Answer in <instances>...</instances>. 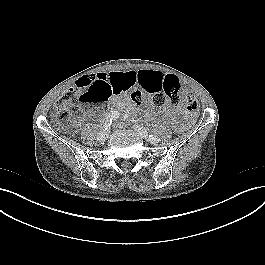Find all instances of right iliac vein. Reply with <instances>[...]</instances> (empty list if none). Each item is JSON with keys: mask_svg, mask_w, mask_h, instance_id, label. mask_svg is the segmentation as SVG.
<instances>
[{"mask_svg": "<svg viewBox=\"0 0 265 265\" xmlns=\"http://www.w3.org/2000/svg\"><path fill=\"white\" fill-rule=\"evenodd\" d=\"M108 136H109L108 131H106V130H102V131H100V132L98 133V135H97V139H98L100 142H103V141H106V140H107Z\"/></svg>", "mask_w": 265, "mask_h": 265, "instance_id": "63e3f726", "label": "right iliac vein"}]
</instances>
